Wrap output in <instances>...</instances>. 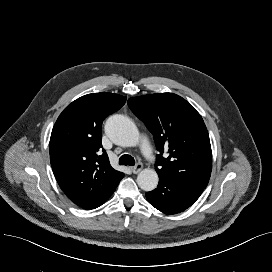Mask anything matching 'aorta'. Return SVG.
I'll return each mask as SVG.
<instances>
[{
	"mask_svg": "<svg viewBox=\"0 0 272 272\" xmlns=\"http://www.w3.org/2000/svg\"><path fill=\"white\" fill-rule=\"evenodd\" d=\"M105 132L115 143L121 146H134L140 134L128 117L120 114L110 116L105 123ZM158 174L153 169H144L137 176V184L144 191H152L158 185Z\"/></svg>",
	"mask_w": 272,
	"mask_h": 272,
	"instance_id": "aorta-1",
	"label": "aorta"
}]
</instances>
